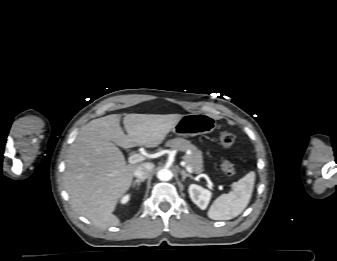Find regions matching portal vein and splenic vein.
Segmentation results:
<instances>
[{"label":"portal vein and splenic vein","instance_id":"18ae733b","mask_svg":"<svg viewBox=\"0 0 337 261\" xmlns=\"http://www.w3.org/2000/svg\"><path fill=\"white\" fill-rule=\"evenodd\" d=\"M144 159L145 157L141 154H133L128 158V161L130 164H135L143 161ZM185 168L189 173H193V169L190 166L186 165Z\"/></svg>","mask_w":337,"mask_h":261}]
</instances>
